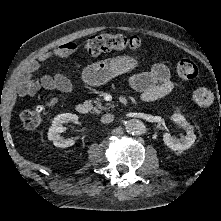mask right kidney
I'll list each match as a JSON object with an SVG mask.
<instances>
[{
	"label": "right kidney",
	"mask_w": 221,
	"mask_h": 221,
	"mask_svg": "<svg viewBox=\"0 0 221 221\" xmlns=\"http://www.w3.org/2000/svg\"><path fill=\"white\" fill-rule=\"evenodd\" d=\"M78 120V116L71 113H63L54 117L52 125L48 130V139L53 141L56 147L66 148L75 144L71 138L65 139L61 136L64 131L63 124Z\"/></svg>",
	"instance_id": "1"
}]
</instances>
